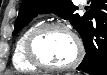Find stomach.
Here are the masks:
<instances>
[{
	"label": "stomach",
	"mask_w": 107,
	"mask_h": 75,
	"mask_svg": "<svg viewBox=\"0 0 107 75\" xmlns=\"http://www.w3.org/2000/svg\"><path fill=\"white\" fill-rule=\"evenodd\" d=\"M65 75H76V74H71V73H69V74H65Z\"/></svg>",
	"instance_id": "stomach-1"
}]
</instances>
